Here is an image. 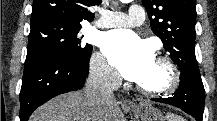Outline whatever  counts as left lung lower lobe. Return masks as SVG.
Masks as SVG:
<instances>
[{
	"label": "left lung lower lobe",
	"mask_w": 217,
	"mask_h": 121,
	"mask_svg": "<svg viewBox=\"0 0 217 121\" xmlns=\"http://www.w3.org/2000/svg\"><path fill=\"white\" fill-rule=\"evenodd\" d=\"M204 99L205 90L201 77L181 72L180 85L173 96L168 98H152L151 100L181 108L186 113L192 115L196 121H202Z\"/></svg>",
	"instance_id": "0a47b994"
}]
</instances>
